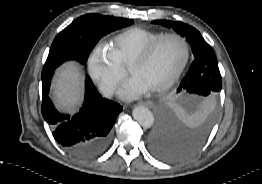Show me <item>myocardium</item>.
Returning a JSON list of instances; mask_svg holds the SVG:
<instances>
[{
	"mask_svg": "<svg viewBox=\"0 0 262 184\" xmlns=\"http://www.w3.org/2000/svg\"><path fill=\"white\" fill-rule=\"evenodd\" d=\"M167 38H177L179 39L185 47V57L184 60L182 62V64L180 65V67L178 68V70L174 73V75L164 84L158 86V87H154V88H150L149 91L150 92H154V93H159V92H164L166 90H168L169 88H171L181 77L182 73L184 72L189 59H190V46L188 41L186 40L185 37H183L182 35L178 34V33H165L160 35L158 38H156L155 40H153L151 43H149L139 54L138 56L130 63L129 67H128V71L129 74L133 76V73L135 71V69L143 64H145L149 58L151 57L152 53L154 52V50L156 49V47L165 39Z\"/></svg>",
	"mask_w": 262,
	"mask_h": 184,
	"instance_id": "f54148a6",
	"label": "myocardium"
}]
</instances>
